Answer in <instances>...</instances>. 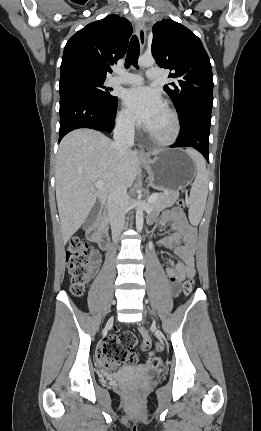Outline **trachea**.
<instances>
[{"label": "trachea", "instance_id": "1", "mask_svg": "<svg viewBox=\"0 0 261 431\" xmlns=\"http://www.w3.org/2000/svg\"><path fill=\"white\" fill-rule=\"evenodd\" d=\"M139 53H140L139 41H138V38L134 35L131 38L128 52H127V57H126V61H125V67L126 68H129L130 65L137 67V60L139 57Z\"/></svg>", "mask_w": 261, "mask_h": 431}]
</instances>
